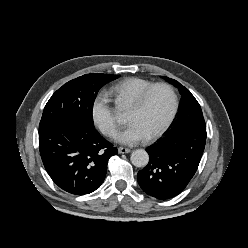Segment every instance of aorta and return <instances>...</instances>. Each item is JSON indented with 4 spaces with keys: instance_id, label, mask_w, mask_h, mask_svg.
I'll return each instance as SVG.
<instances>
[{
    "instance_id": "762f6f07",
    "label": "aorta",
    "mask_w": 248,
    "mask_h": 248,
    "mask_svg": "<svg viewBox=\"0 0 248 248\" xmlns=\"http://www.w3.org/2000/svg\"><path fill=\"white\" fill-rule=\"evenodd\" d=\"M117 111H121V106L117 105ZM131 162L136 167H145L149 162V155L143 149H137L131 154Z\"/></svg>"
}]
</instances>
